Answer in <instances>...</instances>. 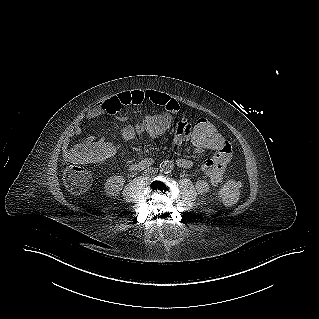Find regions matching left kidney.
Masks as SVG:
<instances>
[{
  "label": "left kidney",
  "instance_id": "5707ae66",
  "mask_svg": "<svg viewBox=\"0 0 319 319\" xmlns=\"http://www.w3.org/2000/svg\"><path fill=\"white\" fill-rule=\"evenodd\" d=\"M196 189L199 193H206L209 190V185L204 180H199L196 182Z\"/></svg>",
  "mask_w": 319,
  "mask_h": 319
}]
</instances>
